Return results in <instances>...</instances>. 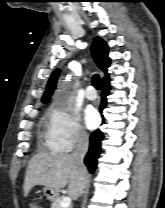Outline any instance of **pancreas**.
<instances>
[{
	"label": "pancreas",
	"instance_id": "cf45deb5",
	"mask_svg": "<svg viewBox=\"0 0 165 208\" xmlns=\"http://www.w3.org/2000/svg\"><path fill=\"white\" fill-rule=\"evenodd\" d=\"M62 199H63L62 197H57L55 200H53L51 208H61L60 203ZM67 208H70V207H67Z\"/></svg>",
	"mask_w": 165,
	"mask_h": 208
}]
</instances>
